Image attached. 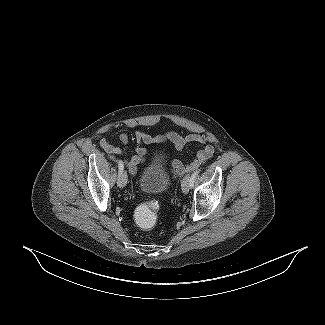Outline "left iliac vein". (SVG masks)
I'll use <instances>...</instances> for the list:
<instances>
[{
	"instance_id": "1",
	"label": "left iliac vein",
	"mask_w": 325,
	"mask_h": 325,
	"mask_svg": "<svg viewBox=\"0 0 325 325\" xmlns=\"http://www.w3.org/2000/svg\"><path fill=\"white\" fill-rule=\"evenodd\" d=\"M181 189H182V192L187 194L189 192V189H190V176H185L182 180V183H181Z\"/></svg>"
}]
</instances>
